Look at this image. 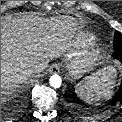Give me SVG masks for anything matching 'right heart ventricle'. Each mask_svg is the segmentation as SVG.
I'll use <instances>...</instances> for the list:
<instances>
[{"label": "right heart ventricle", "instance_id": "obj_1", "mask_svg": "<svg viewBox=\"0 0 122 122\" xmlns=\"http://www.w3.org/2000/svg\"><path fill=\"white\" fill-rule=\"evenodd\" d=\"M95 39L96 37L93 34H85L78 38L77 44L79 46H87L92 44L95 41Z\"/></svg>", "mask_w": 122, "mask_h": 122}]
</instances>
